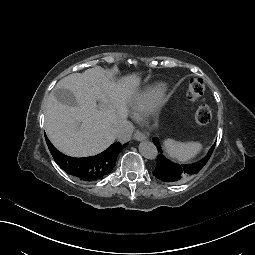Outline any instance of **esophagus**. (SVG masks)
<instances>
[{
  "label": "esophagus",
  "mask_w": 255,
  "mask_h": 255,
  "mask_svg": "<svg viewBox=\"0 0 255 255\" xmlns=\"http://www.w3.org/2000/svg\"><path fill=\"white\" fill-rule=\"evenodd\" d=\"M134 138L137 141L147 140L146 135L142 133L141 131H136L134 134Z\"/></svg>",
  "instance_id": "obj_1"
}]
</instances>
